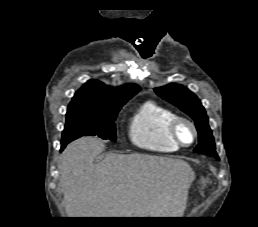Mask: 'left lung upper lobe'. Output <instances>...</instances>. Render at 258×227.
I'll return each instance as SVG.
<instances>
[{"instance_id":"left-lung-upper-lobe-1","label":"left lung upper lobe","mask_w":258,"mask_h":227,"mask_svg":"<svg viewBox=\"0 0 258 227\" xmlns=\"http://www.w3.org/2000/svg\"><path fill=\"white\" fill-rule=\"evenodd\" d=\"M155 91L159 96L177 106L195 121L199 134V144L194 151L219 159L215 151L214 138L209 127L208 117L197 96L186 87L174 84L156 88Z\"/></svg>"}]
</instances>
